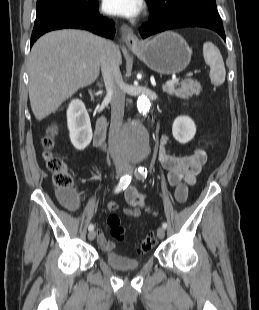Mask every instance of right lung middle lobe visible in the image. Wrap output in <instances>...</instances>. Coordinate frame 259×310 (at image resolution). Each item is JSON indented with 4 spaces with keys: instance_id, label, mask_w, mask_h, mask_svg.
I'll list each match as a JSON object with an SVG mask.
<instances>
[{
    "instance_id": "obj_1",
    "label": "right lung middle lobe",
    "mask_w": 259,
    "mask_h": 310,
    "mask_svg": "<svg viewBox=\"0 0 259 310\" xmlns=\"http://www.w3.org/2000/svg\"><path fill=\"white\" fill-rule=\"evenodd\" d=\"M90 2H87V0H37L36 19H40L50 13L72 12L84 9Z\"/></svg>"
}]
</instances>
